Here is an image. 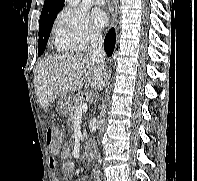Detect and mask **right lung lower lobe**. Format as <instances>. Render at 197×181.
I'll return each instance as SVG.
<instances>
[{"mask_svg": "<svg viewBox=\"0 0 197 181\" xmlns=\"http://www.w3.org/2000/svg\"><path fill=\"white\" fill-rule=\"evenodd\" d=\"M115 46V29L111 28L104 40V49L107 53V56H111Z\"/></svg>", "mask_w": 197, "mask_h": 181, "instance_id": "1", "label": "right lung lower lobe"}]
</instances>
